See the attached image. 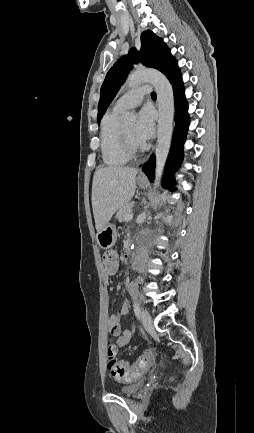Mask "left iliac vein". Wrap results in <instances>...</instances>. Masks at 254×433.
Wrapping results in <instances>:
<instances>
[{
	"label": "left iliac vein",
	"instance_id": "left-iliac-vein-1",
	"mask_svg": "<svg viewBox=\"0 0 254 433\" xmlns=\"http://www.w3.org/2000/svg\"><path fill=\"white\" fill-rule=\"evenodd\" d=\"M141 321H142V324L146 330H152L153 329V327H154L153 326V320H152L150 314L146 310L142 311Z\"/></svg>",
	"mask_w": 254,
	"mask_h": 433
}]
</instances>
